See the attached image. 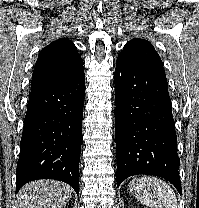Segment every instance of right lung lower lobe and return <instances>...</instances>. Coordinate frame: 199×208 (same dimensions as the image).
I'll return each mask as SVG.
<instances>
[{
  "instance_id": "1",
  "label": "right lung lower lobe",
  "mask_w": 199,
  "mask_h": 208,
  "mask_svg": "<svg viewBox=\"0 0 199 208\" xmlns=\"http://www.w3.org/2000/svg\"><path fill=\"white\" fill-rule=\"evenodd\" d=\"M85 76L32 90L20 142L16 192L29 181L55 179L79 193Z\"/></svg>"
}]
</instances>
